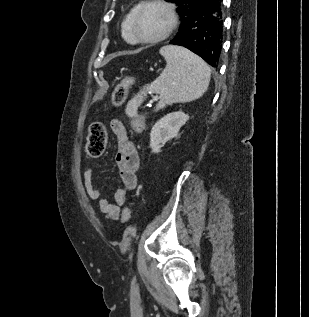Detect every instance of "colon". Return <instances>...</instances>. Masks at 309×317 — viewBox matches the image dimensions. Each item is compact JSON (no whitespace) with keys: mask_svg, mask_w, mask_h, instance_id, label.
<instances>
[{"mask_svg":"<svg viewBox=\"0 0 309 317\" xmlns=\"http://www.w3.org/2000/svg\"><path fill=\"white\" fill-rule=\"evenodd\" d=\"M134 84V79L130 76L123 78V80L116 86L113 95L112 103L115 106L121 105L126 97L129 88ZM136 129L140 130L143 127V122L139 117L135 122ZM107 143V131L105 126L100 122H93L89 127V133L86 143V153L89 158H98L105 150ZM123 220L130 221L131 211L128 207L123 209Z\"/></svg>","mask_w":309,"mask_h":317,"instance_id":"5ec220e1","label":"colon"}]
</instances>
